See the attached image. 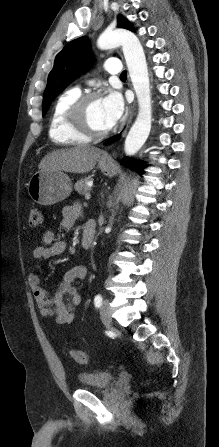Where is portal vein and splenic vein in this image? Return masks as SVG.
Returning a JSON list of instances; mask_svg holds the SVG:
<instances>
[{"label": "portal vein and splenic vein", "mask_w": 219, "mask_h": 447, "mask_svg": "<svg viewBox=\"0 0 219 447\" xmlns=\"http://www.w3.org/2000/svg\"><path fill=\"white\" fill-rule=\"evenodd\" d=\"M88 185H89V186H92V181L88 182ZM90 197H91L90 193H87V194L85 195V199H87V200H89Z\"/></svg>", "instance_id": "obj_1"}]
</instances>
